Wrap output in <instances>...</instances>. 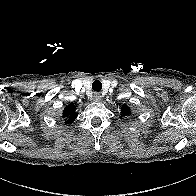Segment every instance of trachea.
<instances>
[{
	"label": "trachea",
	"instance_id": "1",
	"mask_svg": "<svg viewBox=\"0 0 196 196\" xmlns=\"http://www.w3.org/2000/svg\"><path fill=\"white\" fill-rule=\"evenodd\" d=\"M92 89L99 92L102 89V83L99 80H95L92 84Z\"/></svg>",
	"mask_w": 196,
	"mask_h": 196
}]
</instances>
